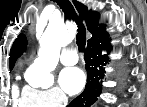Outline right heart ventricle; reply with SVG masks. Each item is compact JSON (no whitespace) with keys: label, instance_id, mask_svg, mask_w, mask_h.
Instances as JSON below:
<instances>
[{"label":"right heart ventricle","instance_id":"right-heart-ventricle-1","mask_svg":"<svg viewBox=\"0 0 147 107\" xmlns=\"http://www.w3.org/2000/svg\"><path fill=\"white\" fill-rule=\"evenodd\" d=\"M13 97H14V102L20 107H33V106H35L32 99L29 97H26L24 95V93H22L19 96L17 88L13 89Z\"/></svg>","mask_w":147,"mask_h":107}]
</instances>
